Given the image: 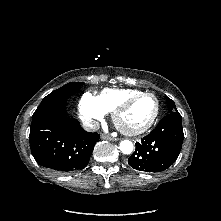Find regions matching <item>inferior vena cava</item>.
Wrapping results in <instances>:
<instances>
[{"label":"inferior vena cava","mask_w":221,"mask_h":221,"mask_svg":"<svg viewBox=\"0 0 221 221\" xmlns=\"http://www.w3.org/2000/svg\"><path fill=\"white\" fill-rule=\"evenodd\" d=\"M100 127V124L96 121L94 122H88V123H85L84 124V129L86 131H95V130H98Z\"/></svg>","instance_id":"602c4592"}]
</instances>
